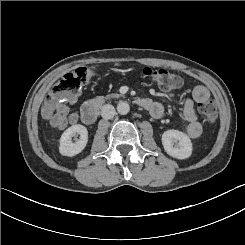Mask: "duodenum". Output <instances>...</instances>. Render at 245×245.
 I'll return each mask as SVG.
<instances>
[{
  "instance_id": "1",
  "label": "duodenum",
  "mask_w": 245,
  "mask_h": 245,
  "mask_svg": "<svg viewBox=\"0 0 245 245\" xmlns=\"http://www.w3.org/2000/svg\"><path fill=\"white\" fill-rule=\"evenodd\" d=\"M105 100L103 98H96L85 103L81 109V119L85 124H93L103 106ZM137 104L145 109L152 107V101L146 98H139L136 100Z\"/></svg>"
}]
</instances>
